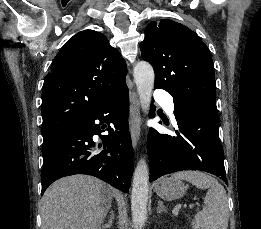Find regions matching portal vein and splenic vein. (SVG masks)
Instances as JSON below:
<instances>
[{
  "mask_svg": "<svg viewBox=\"0 0 261 229\" xmlns=\"http://www.w3.org/2000/svg\"><path fill=\"white\" fill-rule=\"evenodd\" d=\"M190 209H193L194 205H189ZM197 208L201 207L200 203L196 204ZM180 209H183V204L182 203H177L175 208L171 211L172 217H175V215H178V213L180 212Z\"/></svg>",
  "mask_w": 261,
  "mask_h": 229,
  "instance_id": "obj_1",
  "label": "portal vein and splenic vein"
}]
</instances>
